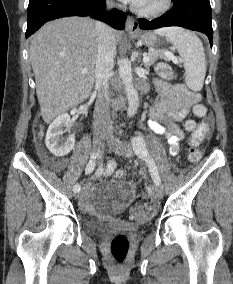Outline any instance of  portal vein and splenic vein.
<instances>
[{
	"label": "portal vein and splenic vein",
	"instance_id": "obj_1",
	"mask_svg": "<svg viewBox=\"0 0 233 284\" xmlns=\"http://www.w3.org/2000/svg\"><path fill=\"white\" fill-rule=\"evenodd\" d=\"M166 56V55H165ZM168 59H172L175 63H178V59H175L172 55L166 56ZM149 61V57L145 54L143 57V62L146 63ZM86 69H82V73H86Z\"/></svg>",
	"mask_w": 233,
	"mask_h": 284
}]
</instances>
